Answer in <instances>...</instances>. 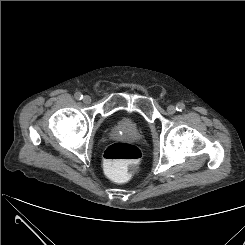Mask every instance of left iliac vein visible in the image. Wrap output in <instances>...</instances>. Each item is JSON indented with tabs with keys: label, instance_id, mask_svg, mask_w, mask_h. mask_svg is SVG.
I'll list each match as a JSON object with an SVG mask.
<instances>
[{
	"label": "left iliac vein",
	"instance_id": "obj_1",
	"mask_svg": "<svg viewBox=\"0 0 245 245\" xmlns=\"http://www.w3.org/2000/svg\"><path fill=\"white\" fill-rule=\"evenodd\" d=\"M167 112H168L169 114H174V113L176 112V107H175L174 105H169V106L167 107Z\"/></svg>",
	"mask_w": 245,
	"mask_h": 245
}]
</instances>
